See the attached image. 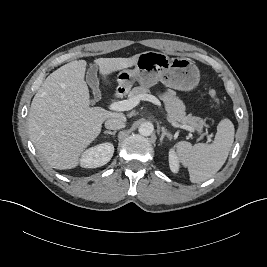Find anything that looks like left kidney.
Segmentation results:
<instances>
[{
  "instance_id": "left-kidney-1",
  "label": "left kidney",
  "mask_w": 267,
  "mask_h": 267,
  "mask_svg": "<svg viewBox=\"0 0 267 267\" xmlns=\"http://www.w3.org/2000/svg\"><path fill=\"white\" fill-rule=\"evenodd\" d=\"M169 166L173 173L179 171V161L173 149L169 151Z\"/></svg>"
}]
</instances>
